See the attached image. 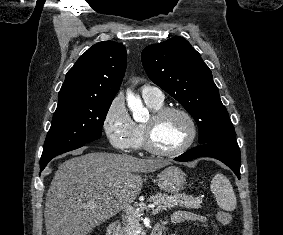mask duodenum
Listing matches in <instances>:
<instances>
[{
	"instance_id": "1",
	"label": "duodenum",
	"mask_w": 283,
	"mask_h": 235,
	"mask_svg": "<svg viewBox=\"0 0 283 235\" xmlns=\"http://www.w3.org/2000/svg\"><path fill=\"white\" fill-rule=\"evenodd\" d=\"M119 231H120V224L118 222H114L108 227L106 235H119ZM150 235H162L161 225H156L152 229Z\"/></svg>"
}]
</instances>
